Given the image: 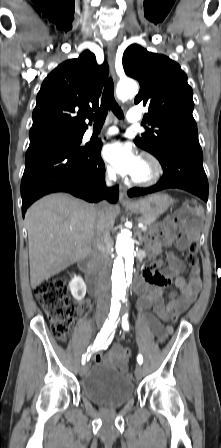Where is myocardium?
<instances>
[{
	"instance_id": "myocardium-1",
	"label": "myocardium",
	"mask_w": 221,
	"mask_h": 448,
	"mask_svg": "<svg viewBox=\"0 0 221 448\" xmlns=\"http://www.w3.org/2000/svg\"><path fill=\"white\" fill-rule=\"evenodd\" d=\"M141 161L149 166V173L142 177H133L132 183L140 186H151L157 183L164 174L161 161L150 152L143 153Z\"/></svg>"
}]
</instances>
